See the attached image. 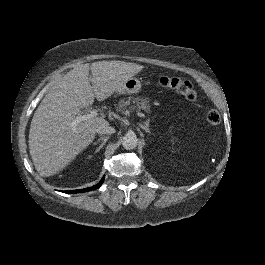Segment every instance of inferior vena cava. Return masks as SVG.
<instances>
[{
    "label": "inferior vena cava",
    "instance_id": "obj_1",
    "mask_svg": "<svg viewBox=\"0 0 265 265\" xmlns=\"http://www.w3.org/2000/svg\"><path fill=\"white\" fill-rule=\"evenodd\" d=\"M96 132L99 134H113L115 133V129L109 126L108 123H104L96 128Z\"/></svg>",
    "mask_w": 265,
    "mask_h": 265
}]
</instances>
